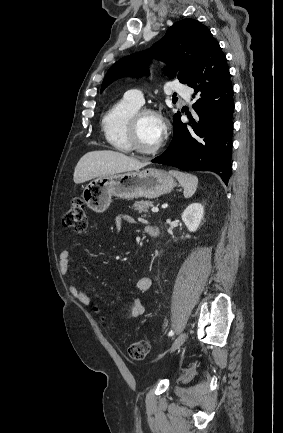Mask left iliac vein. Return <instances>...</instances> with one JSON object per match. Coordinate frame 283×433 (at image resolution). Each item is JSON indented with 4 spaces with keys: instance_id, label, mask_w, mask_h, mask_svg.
Returning a JSON list of instances; mask_svg holds the SVG:
<instances>
[{
    "instance_id": "1",
    "label": "left iliac vein",
    "mask_w": 283,
    "mask_h": 433,
    "mask_svg": "<svg viewBox=\"0 0 283 433\" xmlns=\"http://www.w3.org/2000/svg\"><path fill=\"white\" fill-rule=\"evenodd\" d=\"M185 340H186V333L183 332L173 342V344L170 348V352H173V351L177 350L179 347H181L183 345V343L185 342Z\"/></svg>"
}]
</instances>
